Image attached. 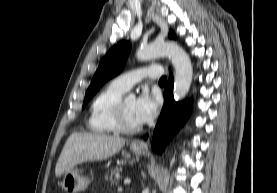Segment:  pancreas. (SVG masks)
Segmentation results:
<instances>
[{"label": "pancreas", "instance_id": "pancreas-1", "mask_svg": "<svg viewBox=\"0 0 277 193\" xmlns=\"http://www.w3.org/2000/svg\"><path fill=\"white\" fill-rule=\"evenodd\" d=\"M121 169L116 167L106 172L105 179H109L111 184H117L120 179Z\"/></svg>", "mask_w": 277, "mask_h": 193}]
</instances>
